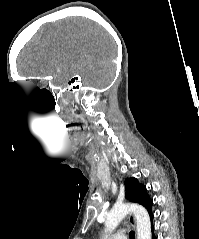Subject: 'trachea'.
<instances>
[{"mask_svg":"<svg viewBox=\"0 0 199 239\" xmlns=\"http://www.w3.org/2000/svg\"><path fill=\"white\" fill-rule=\"evenodd\" d=\"M129 236H130L131 239H135V232L131 231L129 233Z\"/></svg>","mask_w":199,"mask_h":239,"instance_id":"obj_1","label":"trachea"}]
</instances>
